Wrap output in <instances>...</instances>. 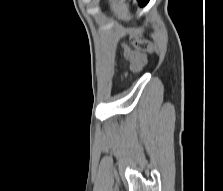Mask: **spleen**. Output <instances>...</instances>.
Listing matches in <instances>:
<instances>
[{"instance_id":"spleen-1","label":"spleen","mask_w":223,"mask_h":191,"mask_svg":"<svg viewBox=\"0 0 223 191\" xmlns=\"http://www.w3.org/2000/svg\"><path fill=\"white\" fill-rule=\"evenodd\" d=\"M111 8L118 17L123 18V19H129L128 8L126 4L118 5L117 2L112 1Z\"/></svg>"}]
</instances>
